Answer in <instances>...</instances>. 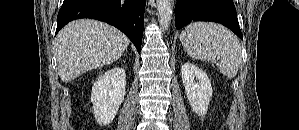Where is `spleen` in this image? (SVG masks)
<instances>
[{
  "mask_svg": "<svg viewBox=\"0 0 299 130\" xmlns=\"http://www.w3.org/2000/svg\"><path fill=\"white\" fill-rule=\"evenodd\" d=\"M180 41L189 56L196 60L219 63L220 72L234 78L242 62L241 46L236 36L213 22H193L180 34Z\"/></svg>",
  "mask_w": 299,
  "mask_h": 130,
  "instance_id": "1",
  "label": "spleen"
}]
</instances>
